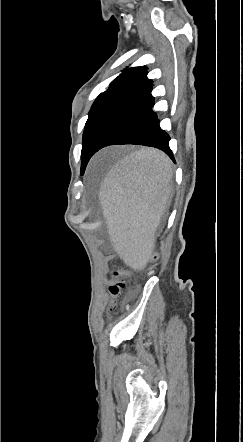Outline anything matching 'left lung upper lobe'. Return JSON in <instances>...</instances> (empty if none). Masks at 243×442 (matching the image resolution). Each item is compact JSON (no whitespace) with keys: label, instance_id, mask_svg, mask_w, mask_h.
<instances>
[{"label":"left lung upper lobe","instance_id":"obj_1","mask_svg":"<svg viewBox=\"0 0 243 442\" xmlns=\"http://www.w3.org/2000/svg\"><path fill=\"white\" fill-rule=\"evenodd\" d=\"M146 70L147 67L140 66L123 71L93 103L83 133L81 174L84 173L88 163L84 161L83 153L97 126L118 101L147 79Z\"/></svg>","mask_w":243,"mask_h":442}]
</instances>
